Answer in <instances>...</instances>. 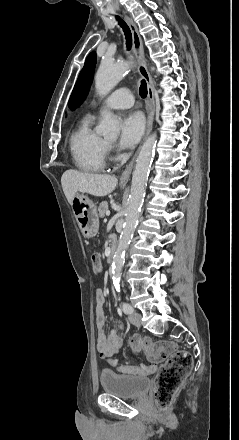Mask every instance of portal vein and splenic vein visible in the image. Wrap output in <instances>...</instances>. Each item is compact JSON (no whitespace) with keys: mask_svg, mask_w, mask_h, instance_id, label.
<instances>
[{"mask_svg":"<svg viewBox=\"0 0 239 440\" xmlns=\"http://www.w3.org/2000/svg\"><path fill=\"white\" fill-rule=\"evenodd\" d=\"M106 216H110V212H106Z\"/></svg>","mask_w":239,"mask_h":440,"instance_id":"obj_1","label":"portal vein and splenic vein"}]
</instances>
